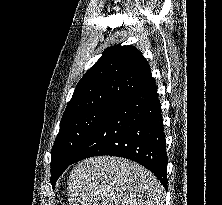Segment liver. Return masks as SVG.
Wrapping results in <instances>:
<instances>
[{"mask_svg": "<svg viewBox=\"0 0 222 205\" xmlns=\"http://www.w3.org/2000/svg\"><path fill=\"white\" fill-rule=\"evenodd\" d=\"M69 205H163L165 189L143 166L115 156L76 164L68 184Z\"/></svg>", "mask_w": 222, "mask_h": 205, "instance_id": "obj_1", "label": "liver"}]
</instances>
